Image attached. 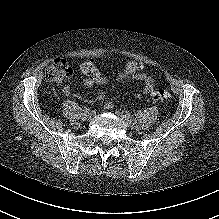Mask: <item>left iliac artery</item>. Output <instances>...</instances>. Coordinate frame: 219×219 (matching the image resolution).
I'll use <instances>...</instances> for the list:
<instances>
[{
	"mask_svg": "<svg viewBox=\"0 0 219 219\" xmlns=\"http://www.w3.org/2000/svg\"><path fill=\"white\" fill-rule=\"evenodd\" d=\"M125 115H126V117L132 119V115H131L129 112L126 111V112H125Z\"/></svg>",
	"mask_w": 219,
	"mask_h": 219,
	"instance_id": "left-iliac-artery-1",
	"label": "left iliac artery"
}]
</instances>
